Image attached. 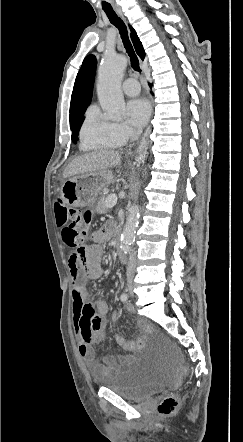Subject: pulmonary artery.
<instances>
[{
	"label": "pulmonary artery",
	"instance_id": "obj_1",
	"mask_svg": "<svg viewBox=\"0 0 243 442\" xmlns=\"http://www.w3.org/2000/svg\"><path fill=\"white\" fill-rule=\"evenodd\" d=\"M122 89L125 94H127L129 96H135L139 93L140 86L138 84L137 79L131 77V78H128L124 81V83L122 85Z\"/></svg>",
	"mask_w": 243,
	"mask_h": 442
}]
</instances>
